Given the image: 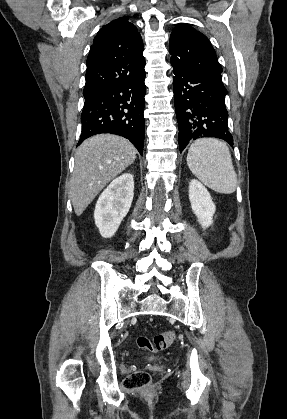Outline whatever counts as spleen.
Listing matches in <instances>:
<instances>
[{
  "instance_id": "1",
  "label": "spleen",
  "mask_w": 287,
  "mask_h": 419,
  "mask_svg": "<svg viewBox=\"0 0 287 419\" xmlns=\"http://www.w3.org/2000/svg\"><path fill=\"white\" fill-rule=\"evenodd\" d=\"M190 171L210 189L231 194L237 187V174L225 142L201 138L193 142L187 154Z\"/></svg>"
}]
</instances>
